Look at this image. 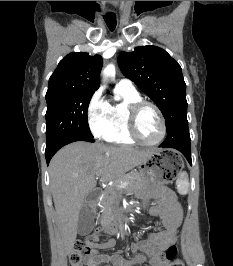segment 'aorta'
Wrapping results in <instances>:
<instances>
[{"mask_svg":"<svg viewBox=\"0 0 233 266\" xmlns=\"http://www.w3.org/2000/svg\"><path fill=\"white\" fill-rule=\"evenodd\" d=\"M115 66L113 64H109L103 70V75L105 78L115 77Z\"/></svg>","mask_w":233,"mask_h":266,"instance_id":"aorta-1","label":"aorta"}]
</instances>
